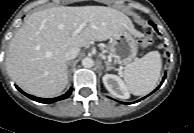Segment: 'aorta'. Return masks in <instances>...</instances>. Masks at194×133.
<instances>
[{"mask_svg":"<svg viewBox=\"0 0 194 133\" xmlns=\"http://www.w3.org/2000/svg\"><path fill=\"white\" fill-rule=\"evenodd\" d=\"M82 65L85 67V68H91L93 67L94 65V61L92 58H89V57H86L82 60Z\"/></svg>","mask_w":194,"mask_h":133,"instance_id":"762f6f07","label":"aorta"}]
</instances>
